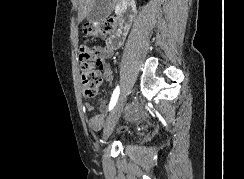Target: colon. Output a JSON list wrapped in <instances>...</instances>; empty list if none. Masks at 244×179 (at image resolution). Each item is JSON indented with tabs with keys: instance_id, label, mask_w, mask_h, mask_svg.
Wrapping results in <instances>:
<instances>
[{
	"instance_id": "obj_1",
	"label": "colon",
	"mask_w": 244,
	"mask_h": 179,
	"mask_svg": "<svg viewBox=\"0 0 244 179\" xmlns=\"http://www.w3.org/2000/svg\"><path fill=\"white\" fill-rule=\"evenodd\" d=\"M115 27L113 20H100L95 23H89L83 26V33L87 37L95 38L112 33ZM79 61L81 69V84L83 93L90 98L98 94L103 72L98 62V56L89 46H82L79 51ZM96 118L91 120L94 125Z\"/></svg>"
}]
</instances>
